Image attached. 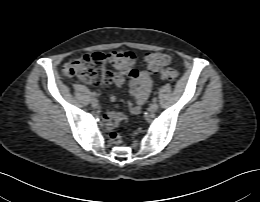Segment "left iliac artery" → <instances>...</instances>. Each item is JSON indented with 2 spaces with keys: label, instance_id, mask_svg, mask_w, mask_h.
Here are the masks:
<instances>
[{
  "label": "left iliac artery",
  "instance_id": "obj_1",
  "mask_svg": "<svg viewBox=\"0 0 260 202\" xmlns=\"http://www.w3.org/2000/svg\"><path fill=\"white\" fill-rule=\"evenodd\" d=\"M152 101H153V102H157V98L154 97V98L152 99Z\"/></svg>",
  "mask_w": 260,
  "mask_h": 202
}]
</instances>
